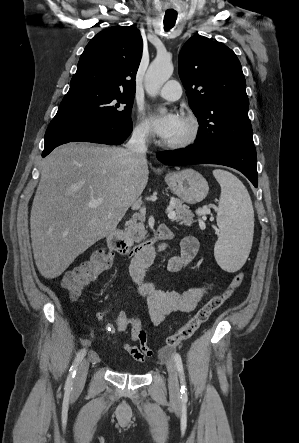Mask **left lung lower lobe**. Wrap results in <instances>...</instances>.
Segmentation results:
<instances>
[{
  "label": "left lung lower lobe",
  "instance_id": "left-lung-lower-lobe-1",
  "mask_svg": "<svg viewBox=\"0 0 299 443\" xmlns=\"http://www.w3.org/2000/svg\"><path fill=\"white\" fill-rule=\"evenodd\" d=\"M156 156L166 165L219 164L232 167L258 186L254 146L209 148L194 144L185 149L159 152Z\"/></svg>",
  "mask_w": 299,
  "mask_h": 443
}]
</instances>
